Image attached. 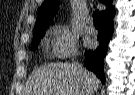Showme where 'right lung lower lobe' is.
Returning a JSON list of instances; mask_svg holds the SVG:
<instances>
[{
  "label": "right lung lower lobe",
  "mask_w": 135,
  "mask_h": 95,
  "mask_svg": "<svg viewBox=\"0 0 135 95\" xmlns=\"http://www.w3.org/2000/svg\"><path fill=\"white\" fill-rule=\"evenodd\" d=\"M113 17H104L101 19V28L98 32L97 40L100 45L95 50H89L85 53V66L88 70L94 72L96 76L105 82L104 75V57L107 53L108 43L113 34Z\"/></svg>",
  "instance_id": "1"
}]
</instances>
